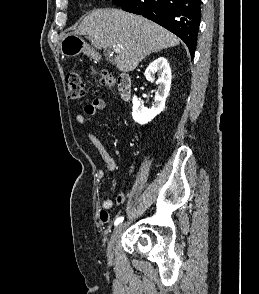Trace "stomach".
<instances>
[{
  "label": "stomach",
  "instance_id": "stomach-1",
  "mask_svg": "<svg viewBox=\"0 0 259 294\" xmlns=\"http://www.w3.org/2000/svg\"><path fill=\"white\" fill-rule=\"evenodd\" d=\"M60 52L67 57H75L80 53L95 57L92 48L75 32L67 33L60 42Z\"/></svg>",
  "mask_w": 259,
  "mask_h": 294
}]
</instances>
